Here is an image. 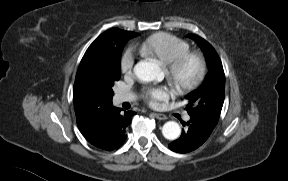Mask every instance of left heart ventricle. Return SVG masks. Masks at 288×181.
Segmentation results:
<instances>
[{
  "instance_id": "left-heart-ventricle-1",
  "label": "left heart ventricle",
  "mask_w": 288,
  "mask_h": 181,
  "mask_svg": "<svg viewBox=\"0 0 288 181\" xmlns=\"http://www.w3.org/2000/svg\"><path fill=\"white\" fill-rule=\"evenodd\" d=\"M196 72V64L194 61L187 62L180 70L179 77L182 80H189Z\"/></svg>"
}]
</instances>
